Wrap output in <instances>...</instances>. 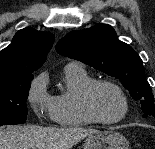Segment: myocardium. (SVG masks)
I'll use <instances>...</instances> for the list:
<instances>
[{"mask_svg":"<svg viewBox=\"0 0 155 149\" xmlns=\"http://www.w3.org/2000/svg\"><path fill=\"white\" fill-rule=\"evenodd\" d=\"M101 85H107L114 88L118 94L120 95L123 102V111L122 113L110 120H105L101 118L94 109L93 106V93L94 91ZM81 106L86 114V116L94 123L103 124V125H113L124 120L129 112V101L126 93L122 89V87L114 81L108 79H94L90 83H88L82 93H81Z\"/></svg>","mask_w":155,"mask_h":149,"instance_id":"myocardium-1","label":"myocardium"}]
</instances>
